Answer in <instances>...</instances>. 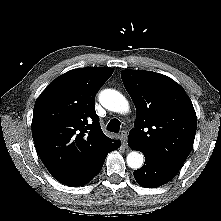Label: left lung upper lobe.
Here are the masks:
<instances>
[{
  "label": "left lung upper lobe",
  "instance_id": "5c2ea615",
  "mask_svg": "<svg viewBox=\"0 0 221 221\" xmlns=\"http://www.w3.org/2000/svg\"><path fill=\"white\" fill-rule=\"evenodd\" d=\"M122 81L137 112L129 145L180 169L192 150L197 128L196 113L185 90L152 71L125 70Z\"/></svg>",
  "mask_w": 221,
  "mask_h": 221
}]
</instances>
